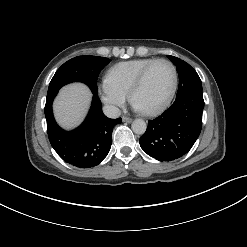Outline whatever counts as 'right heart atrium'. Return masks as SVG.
Returning a JSON list of instances; mask_svg holds the SVG:
<instances>
[{"mask_svg": "<svg viewBox=\"0 0 247 247\" xmlns=\"http://www.w3.org/2000/svg\"><path fill=\"white\" fill-rule=\"evenodd\" d=\"M101 100L111 111H117L127 100V93L118 88L107 78L99 84Z\"/></svg>", "mask_w": 247, "mask_h": 247, "instance_id": "right-heart-atrium-1", "label": "right heart atrium"}]
</instances>
